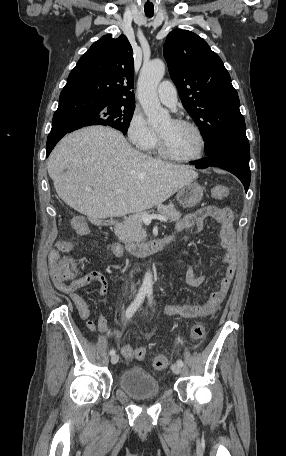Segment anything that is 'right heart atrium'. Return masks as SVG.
I'll return each instance as SVG.
<instances>
[{
  "mask_svg": "<svg viewBox=\"0 0 286 456\" xmlns=\"http://www.w3.org/2000/svg\"><path fill=\"white\" fill-rule=\"evenodd\" d=\"M126 134L130 143L139 149H148L156 140V133L147 123L142 111H133L127 127Z\"/></svg>",
  "mask_w": 286,
  "mask_h": 456,
  "instance_id": "obj_1",
  "label": "right heart atrium"
}]
</instances>
